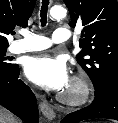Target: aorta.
<instances>
[{"instance_id": "762f6f07", "label": "aorta", "mask_w": 118, "mask_h": 123, "mask_svg": "<svg viewBox=\"0 0 118 123\" xmlns=\"http://www.w3.org/2000/svg\"><path fill=\"white\" fill-rule=\"evenodd\" d=\"M67 10L62 6H53L50 9V16L53 19H62L66 16Z\"/></svg>"}]
</instances>
